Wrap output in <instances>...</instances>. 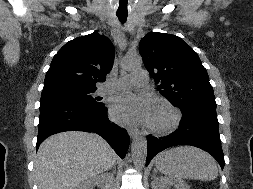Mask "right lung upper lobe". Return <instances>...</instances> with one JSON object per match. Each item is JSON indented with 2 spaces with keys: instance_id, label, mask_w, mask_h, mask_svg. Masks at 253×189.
I'll return each instance as SVG.
<instances>
[{
  "instance_id": "cb5924a9",
  "label": "right lung upper lobe",
  "mask_w": 253,
  "mask_h": 189,
  "mask_svg": "<svg viewBox=\"0 0 253 189\" xmlns=\"http://www.w3.org/2000/svg\"><path fill=\"white\" fill-rule=\"evenodd\" d=\"M114 55L112 42L98 32L75 38L54 56L43 90L96 88L112 69Z\"/></svg>"
}]
</instances>
